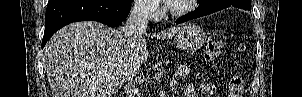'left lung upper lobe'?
<instances>
[{"instance_id":"obj_1","label":"left lung upper lobe","mask_w":302,"mask_h":97,"mask_svg":"<svg viewBox=\"0 0 302 97\" xmlns=\"http://www.w3.org/2000/svg\"><path fill=\"white\" fill-rule=\"evenodd\" d=\"M210 0H200L199 2H208ZM240 0H216V6L218 7H229L232 5H240Z\"/></svg>"}]
</instances>
